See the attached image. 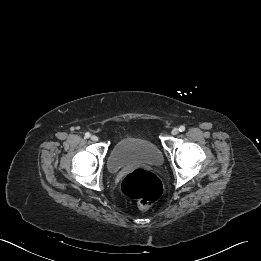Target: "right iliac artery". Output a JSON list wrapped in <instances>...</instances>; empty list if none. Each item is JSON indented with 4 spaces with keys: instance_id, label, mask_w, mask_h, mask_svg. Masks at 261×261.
Segmentation results:
<instances>
[{
    "instance_id": "obj_1",
    "label": "right iliac artery",
    "mask_w": 261,
    "mask_h": 261,
    "mask_svg": "<svg viewBox=\"0 0 261 261\" xmlns=\"http://www.w3.org/2000/svg\"><path fill=\"white\" fill-rule=\"evenodd\" d=\"M90 137V133H85V138H89Z\"/></svg>"
}]
</instances>
